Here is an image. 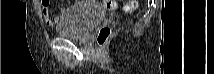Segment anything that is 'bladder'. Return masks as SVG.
<instances>
[{"label":"bladder","instance_id":"bladder-1","mask_svg":"<svg viewBox=\"0 0 214 74\" xmlns=\"http://www.w3.org/2000/svg\"><path fill=\"white\" fill-rule=\"evenodd\" d=\"M105 18L103 10L92 2L81 1L72 7L56 26L62 37L83 41L91 28Z\"/></svg>","mask_w":214,"mask_h":74}]
</instances>
